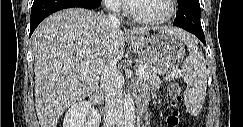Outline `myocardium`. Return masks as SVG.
<instances>
[{
	"mask_svg": "<svg viewBox=\"0 0 243 127\" xmlns=\"http://www.w3.org/2000/svg\"><path fill=\"white\" fill-rule=\"evenodd\" d=\"M168 3V11L165 15L160 16V17H142L139 14H137L135 10V5L134 2L132 1L128 4V10L131 15V17L139 22V23H144V24H162L167 21H169L176 13V0H166Z\"/></svg>",
	"mask_w": 243,
	"mask_h": 127,
	"instance_id": "f54148a6",
	"label": "myocardium"
}]
</instances>
